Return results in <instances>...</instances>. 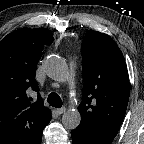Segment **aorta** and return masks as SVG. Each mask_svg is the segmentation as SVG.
<instances>
[{"mask_svg": "<svg viewBox=\"0 0 144 144\" xmlns=\"http://www.w3.org/2000/svg\"><path fill=\"white\" fill-rule=\"evenodd\" d=\"M45 72L48 77L55 81H62L67 77V66L65 62L57 57L51 56L44 62ZM81 121V114L76 109L65 112L62 116V124L66 129H76Z\"/></svg>", "mask_w": 144, "mask_h": 144, "instance_id": "762f6f07", "label": "aorta"}]
</instances>
